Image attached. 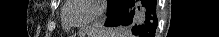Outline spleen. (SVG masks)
Instances as JSON below:
<instances>
[{
    "label": "spleen",
    "instance_id": "spleen-1",
    "mask_svg": "<svg viewBox=\"0 0 219 37\" xmlns=\"http://www.w3.org/2000/svg\"><path fill=\"white\" fill-rule=\"evenodd\" d=\"M108 37H127L129 30L127 28L110 29L107 33Z\"/></svg>",
    "mask_w": 219,
    "mask_h": 37
}]
</instances>
